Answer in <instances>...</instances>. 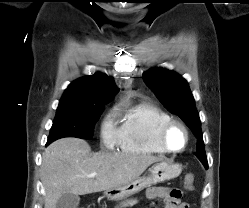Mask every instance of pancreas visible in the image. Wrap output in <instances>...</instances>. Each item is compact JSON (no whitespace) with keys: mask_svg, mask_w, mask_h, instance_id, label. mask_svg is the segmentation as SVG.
<instances>
[{"mask_svg":"<svg viewBox=\"0 0 249 208\" xmlns=\"http://www.w3.org/2000/svg\"><path fill=\"white\" fill-rule=\"evenodd\" d=\"M137 203H138L137 199L125 200V201H123V202L120 203V208L133 206V205H135V204H137ZM118 208H119V207H118Z\"/></svg>","mask_w":249,"mask_h":208,"instance_id":"cf45deb5","label":"pancreas"}]
</instances>
